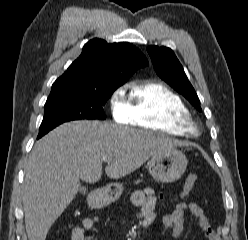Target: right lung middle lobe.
<instances>
[{"mask_svg":"<svg viewBox=\"0 0 248 240\" xmlns=\"http://www.w3.org/2000/svg\"><path fill=\"white\" fill-rule=\"evenodd\" d=\"M116 88H64L51 90L40 131L71 120L105 119L103 106Z\"/></svg>","mask_w":248,"mask_h":240,"instance_id":"1","label":"right lung middle lobe"}]
</instances>
